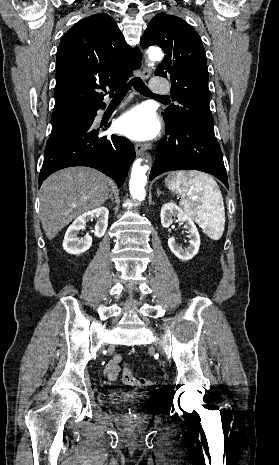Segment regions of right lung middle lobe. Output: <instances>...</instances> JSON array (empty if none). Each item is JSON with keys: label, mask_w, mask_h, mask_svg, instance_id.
<instances>
[{"label": "right lung middle lobe", "mask_w": 279, "mask_h": 465, "mask_svg": "<svg viewBox=\"0 0 279 465\" xmlns=\"http://www.w3.org/2000/svg\"><path fill=\"white\" fill-rule=\"evenodd\" d=\"M82 120L83 119L79 116L68 122L52 126V131L47 141L45 151L54 147L67 134L77 129L80 126Z\"/></svg>", "instance_id": "dd1d6c3e"}]
</instances>
